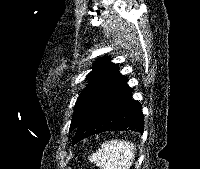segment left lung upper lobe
<instances>
[{
    "mask_svg": "<svg viewBox=\"0 0 200 169\" xmlns=\"http://www.w3.org/2000/svg\"><path fill=\"white\" fill-rule=\"evenodd\" d=\"M90 80L79 95L74 109L69 131L76 129L92 107L102 98L117 90L126 82V77L119 73V67L110 62L109 57L98 59L93 70L87 75Z\"/></svg>",
    "mask_w": 200,
    "mask_h": 169,
    "instance_id": "1",
    "label": "left lung upper lobe"
}]
</instances>
